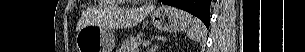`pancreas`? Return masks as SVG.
Wrapping results in <instances>:
<instances>
[{
  "label": "pancreas",
  "instance_id": "cf45deb5",
  "mask_svg": "<svg viewBox=\"0 0 305 52\" xmlns=\"http://www.w3.org/2000/svg\"><path fill=\"white\" fill-rule=\"evenodd\" d=\"M140 37H129L119 48V52H139Z\"/></svg>",
  "mask_w": 305,
  "mask_h": 52
}]
</instances>
